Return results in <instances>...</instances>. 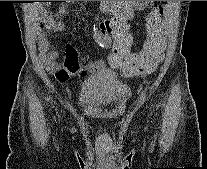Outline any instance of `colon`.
Masks as SVG:
<instances>
[{
    "instance_id": "colon-1",
    "label": "colon",
    "mask_w": 207,
    "mask_h": 169,
    "mask_svg": "<svg viewBox=\"0 0 207 169\" xmlns=\"http://www.w3.org/2000/svg\"><path fill=\"white\" fill-rule=\"evenodd\" d=\"M163 12V7L155 9L150 19L149 39L145 42L143 51L126 62L125 65L131 73H138L142 70L146 71L148 68H153L151 70L153 71L156 65L155 62L160 59L163 49V39L160 36ZM125 45L126 43L112 45V48L115 49L117 61L121 60Z\"/></svg>"
}]
</instances>
